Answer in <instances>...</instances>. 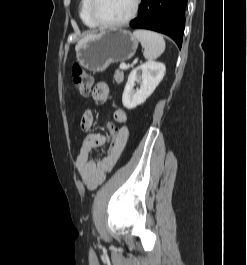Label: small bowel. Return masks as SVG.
Listing matches in <instances>:
<instances>
[{"label": "small bowel", "instance_id": "c3829d8e", "mask_svg": "<svg viewBox=\"0 0 247 265\" xmlns=\"http://www.w3.org/2000/svg\"><path fill=\"white\" fill-rule=\"evenodd\" d=\"M109 86L104 82H99L94 86L92 97L95 101H103L109 95ZM128 114L125 109L117 108L114 112V120L121 124L119 128V143L114 154L110 157L103 156L97 159L91 158L92 151L106 143L104 135L98 133H89L83 139L80 151L76 159V169L86 187L90 190L95 189L102 184L106 174L110 172L115 165L118 157L126 146L129 130L124 125L127 122ZM94 115L91 109H87L81 117L80 127L84 132H89L93 126Z\"/></svg>", "mask_w": 247, "mask_h": 265}]
</instances>
